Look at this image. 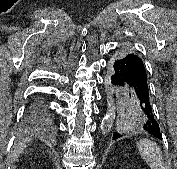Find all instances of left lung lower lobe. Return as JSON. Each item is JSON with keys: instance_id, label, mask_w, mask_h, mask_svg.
I'll list each match as a JSON object with an SVG mask.
<instances>
[{"instance_id": "obj_1", "label": "left lung lower lobe", "mask_w": 177, "mask_h": 169, "mask_svg": "<svg viewBox=\"0 0 177 169\" xmlns=\"http://www.w3.org/2000/svg\"><path fill=\"white\" fill-rule=\"evenodd\" d=\"M115 55L110 61L111 83L114 86L115 95L119 98L127 97L128 94L135 97L147 116L143 129L162 140L159 124L154 118L149 100L147 71L143 60L135 54H127L118 59H115ZM121 136L120 133L114 132L113 140Z\"/></svg>"}]
</instances>
